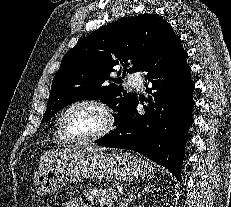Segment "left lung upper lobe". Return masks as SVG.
<instances>
[{"label":"left lung upper lobe","mask_w":231,"mask_h":207,"mask_svg":"<svg viewBox=\"0 0 231 207\" xmlns=\"http://www.w3.org/2000/svg\"><path fill=\"white\" fill-rule=\"evenodd\" d=\"M178 38L171 25L155 14L120 19L98 29L63 57L42 122L73 102L99 99L118 112L115 118L118 125L137 96L110 83L122 82L110 77L114 68L123 70L122 78L129 65V73L143 71Z\"/></svg>","instance_id":"5c2ea615"}]
</instances>
